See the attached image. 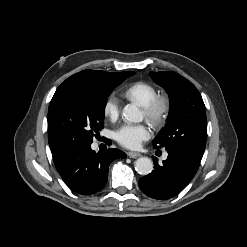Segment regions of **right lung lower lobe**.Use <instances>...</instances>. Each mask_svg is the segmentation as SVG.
<instances>
[{"instance_id": "1", "label": "right lung lower lobe", "mask_w": 247, "mask_h": 247, "mask_svg": "<svg viewBox=\"0 0 247 247\" xmlns=\"http://www.w3.org/2000/svg\"><path fill=\"white\" fill-rule=\"evenodd\" d=\"M125 157L124 152L113 148L96 153L90 144L75 146L53 159L67 186L77 193L87 195L102 189L108 179L110 163L116 158Z\"/></svg>"}]
</instances>
